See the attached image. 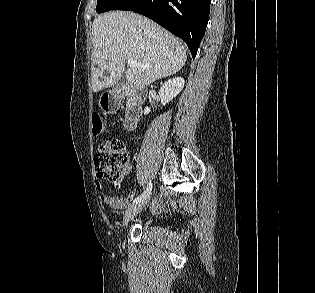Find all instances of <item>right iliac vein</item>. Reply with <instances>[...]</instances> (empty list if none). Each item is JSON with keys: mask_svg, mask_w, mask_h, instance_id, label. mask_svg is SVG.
<instances>
[{"mask_svg": "<svg viewBox=\"0 0 315 293\" xmlns=\"http://www.w3.org/2000/svg\"><path fill=\"white\" fill-rule=\"evenodd\" d=\"M150 197L149 195L142 199L141 201L129 206V208L126 210L123 222L126 224L130 220H132L136 215H138L141 210L147 205Z\"/></svg>", "mask_w": 315, "mask_h": 293, "instance_id": "obj_1", "label": "right iliac vein"}]
</instances>
